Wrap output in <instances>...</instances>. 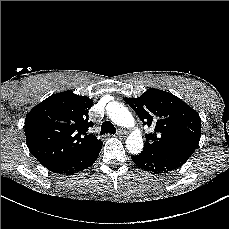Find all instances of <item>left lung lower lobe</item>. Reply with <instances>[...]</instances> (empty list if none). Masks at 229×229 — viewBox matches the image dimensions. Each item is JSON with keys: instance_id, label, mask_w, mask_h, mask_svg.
Wrapping results in <instances>:
<instances>
[{"instance_id": "0a47b994", "label": "left lung lower lobe", "mask_w": 229, "mask_h": 229, "mask_svg": "<svg viewBox=\"0 0 229 229\" xmlns=\"http://www.w3.org/2000/svg\"><path fill=\"white\" fill-rule=\"evenodd\" d=\"M131 158L139 168L158 174L181 167L189 157L140 153L139 155H132Z\"/></svg>"}]
</instances>
